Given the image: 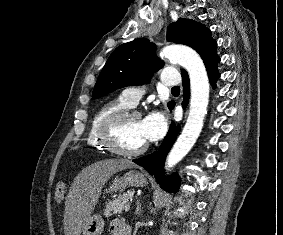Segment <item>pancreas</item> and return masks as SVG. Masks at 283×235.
<instances>
[{"label": "pancreas", "instance_id": "cf45deb5", "mask_svg": "<svg viewBox=\"0 0 283 235\" xmlns=\"http://www.w3.org/2000/svg\"><path fill=\"white\" fill-rule=\"evenodd\" d=\"M131 199H132L131 194L127 192L110 200L106 204V208L104 210L105 217H109L112 214L122 213L125 206L130 202Z\"/></svg>", "mask_w": 283, "mask_h": 235}]
</instances>
